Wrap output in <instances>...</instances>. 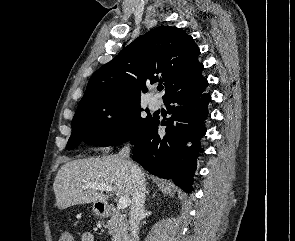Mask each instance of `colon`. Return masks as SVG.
<instances>
[{"instance_id":"5ec220e1","label":"colon","mask_w":295,"mask_h":241,"mask_svg":"<svg viewBox=\"0 0 295 241\" xmlns=\"http://www.w3.org/2000/svg\"><path fill=\"white\" fill-rule=\"evenodd\" d=\"M61 237V241H74L73 237L71 236V234L69 233H62Z\"/></svg>"}]
</instances>
